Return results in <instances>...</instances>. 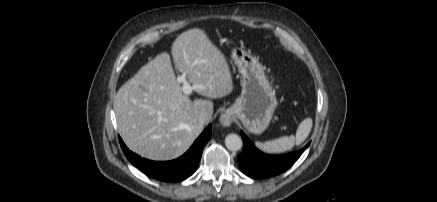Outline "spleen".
Returning <instances> with one entry per match:
<instances>
[{
    "label": "spleen",
    "mask_w": 437,
    "mask_h": 202,
    "mask_svg": "<svg viewBox=\"0 0 437 202\" xmlns=\"http://www.w3.org/2000/svg\"><path fill=\"white\" fill-rule=\"evenodd\" d=\"M312 128V119L306 118L300 124L296 131V135L293 136H282L278 139L266 141V142H255L258 149L266 153H281L287 150H291L294 145H300L306 140Z\"/></svg>",
    "instance_id": "spleen-1"
}]
</instances>
